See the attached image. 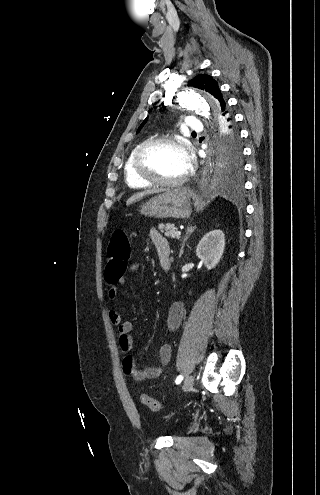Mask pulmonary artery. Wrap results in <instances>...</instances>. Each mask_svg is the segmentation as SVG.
Here are the masks:
<instances>
[{"label":"pulmonary artery","instance_id":"1","mask_svg":"<svg viewBox=\"0 0 320 495\" xmlns=\"http://www.w3.org/2000/svg\"><path fill=\"white\" fill-rule=\"evenodd\" d=\"M187 126L190 130L192 131H201L202 130V123L195 117H188L187 120Z\"/></svg>","mask_w":320,"mask_h":495}]
</instances>
